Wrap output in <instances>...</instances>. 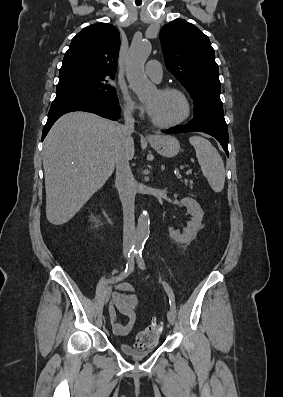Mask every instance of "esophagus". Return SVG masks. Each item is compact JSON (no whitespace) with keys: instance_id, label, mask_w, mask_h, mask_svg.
I'll list each match as a JSON object with an SVG mask.
<instances>
[{"instance_id":"esophagus-1","label":"esophagus","mask_w":283,"mask_h":397,"mask_svg":"<svg viewBox=\"0 0 283 397\" xmlns=\"http://www.w3.org/2000/svg\"><path fill=\"white\" fill-rule=\"evenodd\" d=\"M148 138H149V139H153L154 136H153V135H149Z\"/></svg>"}]
</instances>
